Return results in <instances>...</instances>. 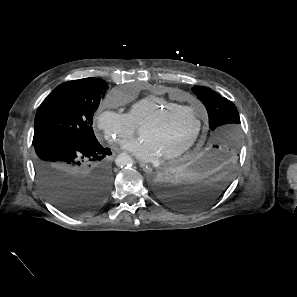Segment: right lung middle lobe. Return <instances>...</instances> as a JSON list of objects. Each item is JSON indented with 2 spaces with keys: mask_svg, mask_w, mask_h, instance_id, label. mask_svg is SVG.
Wrapping results in <instances>:
<instances>
[{
  "mask_svg": "<svg viewBox=\"0 0 297 297\" xmlns=\"http://www.w3.org/2000/svg\"><path fill=\"white\" fill-rule=\"evenodd\" d=\"M107 89L108 85L99 78L60 84L38 108L33 143L53 136L70 137L83 144L98 142L92 120Z\"/></svg>",
  "mask_w": 297,
  "mask_h": 297,
  "instance_id": "dd1d6c3e",
  "label": "right lung middle lobe"
}]
</instances>
